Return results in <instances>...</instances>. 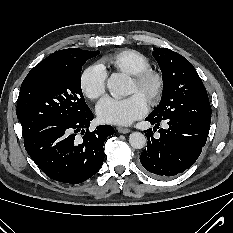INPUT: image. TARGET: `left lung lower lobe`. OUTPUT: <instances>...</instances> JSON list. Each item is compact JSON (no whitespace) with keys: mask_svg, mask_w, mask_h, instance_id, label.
I'll return each mask as SVG.
<instances>
[{"mask_svg":"<svg viewBox=\"0 0 233 233\" xmlns=\"http://www.w3.org/2000/svg\"><path fill=\"white\" fill-rule=\"evenodd\" d=\"M153 131L159 129L160 137L153 136L152 129L145 131L147 148L140 155V162L150 173L169 177L190 168L201 154L206 143L210 124L186 116L165 119L169 127L159 128L160 121L146 117Z\"/></svg>","mask_w":233,"mask_h":233,"instance_id":"left-lung-lower-lobe-1","label":"left lung lower lobe"}]
</instances>
